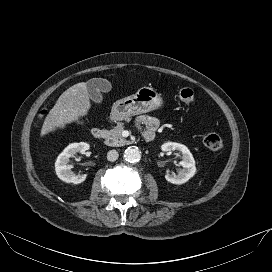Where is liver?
Segmentation results:
<instances>
[{"instance_id":"liver-1","label":"liver","mask_w":272,"mask_h":272,"mask_svg":"<svg viewBox=\"0 0 272 272\" xmlns=\"http://www.w3.org/2000/svg\"><path fill=\"white\" fill-rule=\"evenodd\" d=\"M90 107L87 83L81 82L71 86L60 95L46 116L41 136L55 132L57 129H64L67 124L78 121L81 116L88 113Z\"/></svg>"}]
</instances>
